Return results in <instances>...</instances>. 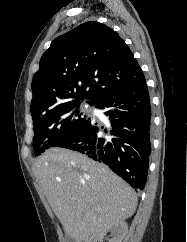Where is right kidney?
Masks as SVG:
<instances>
[{"label":"right kidney","instance_id":"ca27d5eb","mask_svg":"<svg viewBox=\"0 0 187 242\" xmlns=\"http://www.w3.org/2000/svg\"><path fill=\"white\" fill-rule=\"evenodd\" d=\"M111 232L113 238L109 242H122L128 231V225L126 222L121 221L108 229ZM107 230V231H108ZM106 231H103L97 235L91 236L85 242H102Z\"/></svg>","mask_w":187,"mask_h":242}]
</instances>
